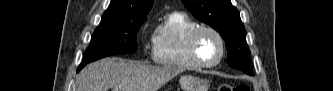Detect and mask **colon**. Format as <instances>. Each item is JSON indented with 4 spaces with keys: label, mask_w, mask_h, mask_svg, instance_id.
I'll return each mask as SVG.
<instances>
[{
    "label": "colon",
    "mask_w": 333,
    "mask_h": 91,
    "mask_svg": "<svg viewBox=\"0 0 333 91\" xmlns=\"http://www.w3.org/2000/svg\"><path fill=\"white\" fill-rule=\"evenodd\" d=\"M218 91H250V88L246 84H241L238 86L223 84L219 86Z\"/></svg>",
    "instance_id": "5ec220e1"
}]
</instances>
